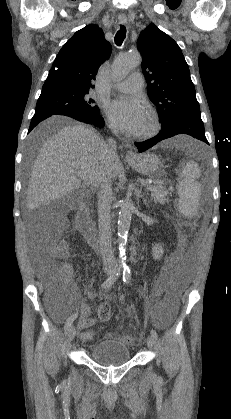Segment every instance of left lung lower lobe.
Returning a JSON list of instances; mask_svg holds the SVG:
<instances>
[{"label":"left lung lower lobe","mask_w":231,"mask_h":419,"mask_svg":"<svg viewBox=\"0 0 231 419\" xmlns=\"http://www.w3.org/2000/svg\"><path fill=\"white\" fill-rule=\"evenodd\" d=\"M178 134H187L209 144L205 137L204 124L200 115H186L181 117L172 125L162 128L160 133L154 138L142 143H135V145L137 146L139 152H143L161 140Z\"/></svg>","instance_id":"obj_1"}]
</instances>
